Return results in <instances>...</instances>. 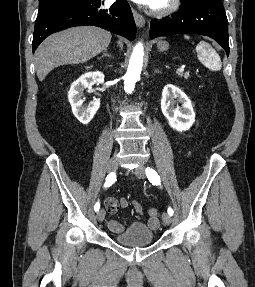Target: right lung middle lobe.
<instances>
[{"mask_svg":"<svg viewBox=\"0 0 255 287\" xmlns=\"http://www.w3.org/2000/svg\"><path fill=\"white\" fill-rule=\"evenodd\" d=\"M39 2H40L39 12H42L51 7L65 6V5H84V4H93L97 6L101 5V0H39Z\"/></svg>","mask_w":255,"mask_h":287,"instance_id":"dd1d6c3e","label":"right lung middle lobe"}]
</instances>
